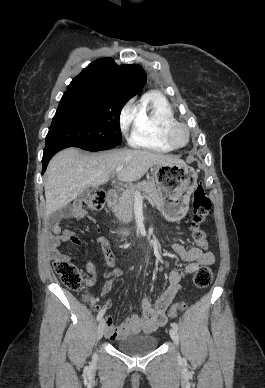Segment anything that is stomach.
Here are the masks:
<instances>
[{"instance_id": "stomach-1", "label": "stomach", "mask_w": 265, "mask_h": 388, "mask_svg": "<svg viewBox=\"0 0 265 388\" xmlns=\"http://www.w3.org/2000/svg\"><path fill=\"white\" fill-rule=\"evenodd\" d=\"M197 178L195 170L186 164L156 165L154 181L163 198L161 210L167 218L180 220L186 215Z\"/></svg>"}]
</instances>
